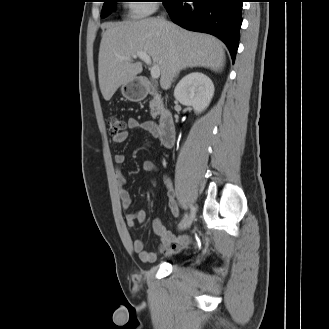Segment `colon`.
Returning a JSON list of instances; mask_svg holds the SVG:
<instances>
[{"instance_id": "5ec220e1", "label": "colon", "mask_w": 329, "mask_h": 329, "mask_svg": "<svg viewBox=\"0 0 329 329\" xmlns=\"http://www.w3.org/2000/svg\"><path fill=\"white\" fill-rule=\"evenodd\" d=\"M109 131L111 135H118L125 131L124 122L118 117H110L108 120Z\"/></svg>"}]
</instances>
